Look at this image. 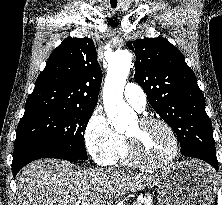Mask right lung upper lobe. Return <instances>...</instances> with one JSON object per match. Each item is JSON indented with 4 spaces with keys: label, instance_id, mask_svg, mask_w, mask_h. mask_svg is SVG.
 Segmentation results:
<instances>
[{
    "label": "right lung upper lobe",
    "instance_id": "right-lung-upper-lobe-1",
    "mask_svg": "<svg viewBox=\"0 0 222 205\" xmlns=\"http://www.w3.org/2000/svg\"><path fill=\"white\" fill-rule=\"evenodd\" d=\"M101 80L93 40L68 37L50 55L24 114L52 108H94Z\"/></svg>",
    "mask_w": 222,
    "mask_h": 205
}]
</instances>
